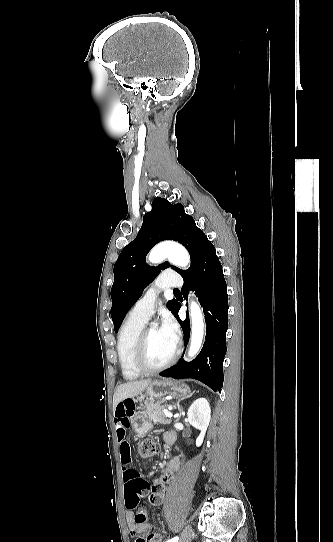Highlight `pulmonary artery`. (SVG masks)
Masks as SVG:
<instances>
[{
  "label": "pulmonary artery",
  "mask_w": 333,
  "mask_h": 542,
  "mask_svg": "<svg viewBox=\"0 0 333 542\" xmlns=\"http://www.w3.org/2000/svg\"><path fill=\"white\" fill-rule=\"evenodd\" d=\"M164 273L165 274H163L159 279L166 284L164 286L166 289H179L182 287V276L177 273L174 274L175 270L173 267H166ZM151 284L145 287V292L147 294H144L140 299H138L134 306L131 308L129 312V315L131 317L147 320L154 313L158 295L160 293V290L162 289V284L155 283L154 281Z\"/></svg>",
  "instance_id": "pulmonary-artery-1"
}]
</instances>
